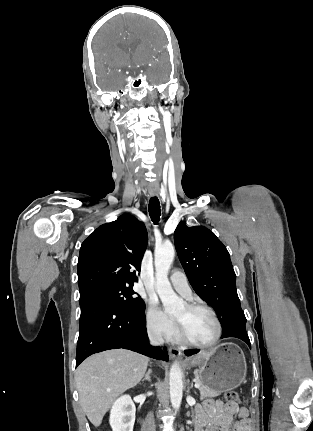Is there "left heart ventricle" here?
Here are the masks:
<instances>
[{"label":"left heart ventricle","instance_id":"left-heart-ventricle-1","mask_svg":"<svg viewBox=\"0 0 313 431\" xmlns=\"http://www.w3.org/2000/svg\"><path fill=\"white\" fill-rule=\"evenodd\" d=\"M183 327L185 335L193 342L208 343L216 335V324L209 312L203 309L189 311L185 305L174 314Z\"/></svg>","mask_w":313,"mask_h":431}]
</instances>
